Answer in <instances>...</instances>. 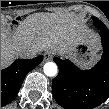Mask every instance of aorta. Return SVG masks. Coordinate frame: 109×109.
Wrapping results in <instances>:
<instances>
[{"instance_id":"aorta-1","label":"aorta","mask_w":109,"mask_h":109,"mask_svg":"<svg viewBox=\"0 0 109 109\" xmlns=\"http://www.w3.org/2000/svg\"><path fill=\"white\" fill-rule=\"evenodd\" d=\"M43 69H44L45 75L50 77L55 76L58 72L57 65L54 62L45 63Z\"/></svg>"}]
</instances>
